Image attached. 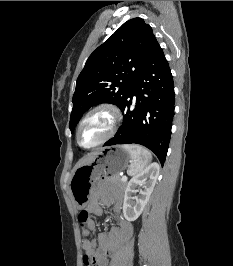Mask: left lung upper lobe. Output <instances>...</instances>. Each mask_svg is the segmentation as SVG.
I'll return each mask as SVG.
<instances>
[{
	"instance_id": "left-lung-upper-lobe-1",
	"label": "left lung upper lobe",
	"mask_w": 233,
	"mask_h": 266,
	"mask_svg": "<svg viewBox=\"0 0 233 266\" xmlns=\"http://www.w3.org/2000/svg\"><path fill=\"white\" fill-rule=\"evenodd\" d=\"M158 45L152 28L143 19L133 18L90 55L76 82L69 124L72 133L90 107L123 105Z\"/></svg>"
}]
</instances>
